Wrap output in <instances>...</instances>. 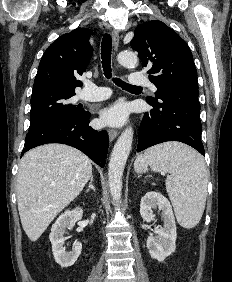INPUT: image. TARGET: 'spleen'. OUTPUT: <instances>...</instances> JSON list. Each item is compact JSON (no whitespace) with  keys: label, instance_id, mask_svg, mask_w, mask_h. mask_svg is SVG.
I'll return each mask as SVG.
<instances>
[{"label":"spleen","instance_id":"spleen-1","mask_svg":"<svg viewBox=\"0 0 232 282\" xmlns=\"http://www.w3.org/2000/svg\"><path fill=\"white\" fill-rule=\"evenodd\" d=\"M168 172L166 190L178 223L195 227L204 212L208 172L203 158L195 150L180 143L169 142L147 149L137 156L136 171L146 169Z\"/></svg>","mask_w":232,"mask_h":282}]
</instances>
